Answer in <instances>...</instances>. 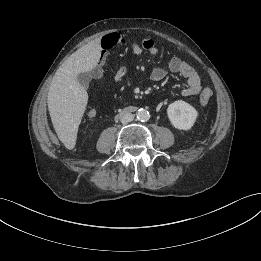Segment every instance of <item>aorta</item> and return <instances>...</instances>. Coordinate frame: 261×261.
Wrapping results in <instances>:
<instances>
[{"mask_svg":"<svg viewBox=\"0 0 261 261\" xmlns=\"http://www.w3.org/2000/svg\"><path fill=\"white\" fill-rule=\"evenodd\" d=\"M136 117L138 120L147 121L150 117L149 112L146 109H139L136 113Z\"/></svg>","mask_w":261,"mask_h":261,"instance_id":"obj_1","label":"aorta"}]
</instances>
